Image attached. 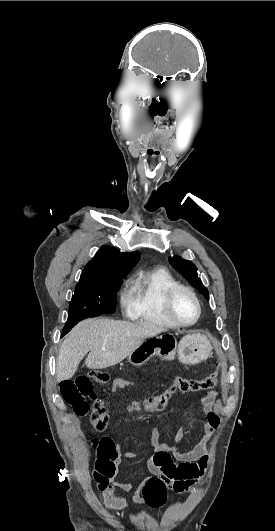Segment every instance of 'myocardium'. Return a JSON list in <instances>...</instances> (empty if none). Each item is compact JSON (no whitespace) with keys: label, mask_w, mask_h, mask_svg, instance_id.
I'll return each mask as SVG.
<instances>
[{"label":"myocardium","mask_w":275,"mask_h":531,"mask_svg":"<svg viewBox=\"0 0 275 531\" xmlns=\"http://www.w3.org/2000/svg\"><path fill=\"white\" fill-rule=\"evenodd\" d=\"M180 291H183V292H186L188 293L192 298L193 300L195 301L196 303V306H197V315L195 317V319L191 322H182L180 320H178L176 318V316L174 315V312H173V309H172V301H173V298L175 297V295L180 292ZM163 308H164V312L166 314V316L178 327H188V326H192L194 324H196L199 319L201 318V315H202V304H201V301L199 299V297L197 296V294L189 287L185 286V285H181V284H175L173 286H171L170 288L167 289L165 295H164V298H163Z\"/></svg>","instance_id":"myocardium-1"}]
</instances>
